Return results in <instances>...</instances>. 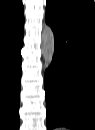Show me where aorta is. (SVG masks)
Here are the masks:
<instances>
[{
	"label": "aorta",
	"mask_w": 95,
	"mask_h": 130,
	"mask_svg": "<svg viewBox=\"0 0 95 130\" xmlns=\"http://www.w3.org/2000/svg\"><path fill=\"white\" fill-rule=\"evenodd\" d=\"M41 49L45 66L49 67L52 63L55 52L54 33L49 25H44L42 31Z\"/></svg>",
	"instance_id": "762f6f07"
}]
</instances>
